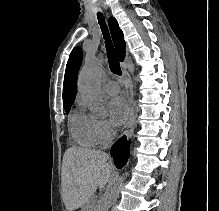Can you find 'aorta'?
Wrapping results in <instances>:
<instances>
[{
  "mask_svg": "<svg viewBox=\"0 0 219 211\" xmlns=\"http://www.w3.org/2000/svg\"><path fill=\"white\" fill-rule=\"evenodd\" d=\"M101 73V64L96 59L88 58L85 60L78 78V88L81 97L91 113L98 118L107 116L105 99L99 85ZM126 177L127 173H124L108 186L99 201L97 211H108L114 205Z\"/></svg>",
  "mask_w": 219,
  "mask_h": 211,
  "instance_id": "aorta-1",
  "label": "aorta"
}]
</instances>
